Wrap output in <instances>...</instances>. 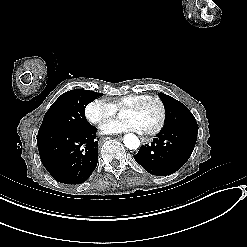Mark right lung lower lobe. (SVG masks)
Returning a JSON list of instances; mask_svg holds the SVG:
<instances>
[{
	"label": "right lung lower lobe",
	"mask_w": 247,
	"mask_h": 247,
	"mask_svg": "<svg viewBox=\"0 0 247 247\" xmlns=\"http://www.w3.org/2000/svg\"><path fill=\"white\" fill-rule=\"evenodd\" d=\"M96 132L95 127L88 125L37 136L41 162L55 180L80 184L90 177L98 162Z\"/></svg>",
	"instance_id": "1"
}]
</instances>
